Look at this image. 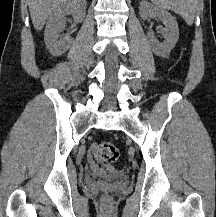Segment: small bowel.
<instances>
[{
  "label": "small bowel",
  "mask_w": 216,
  "mask_h": 217,
  "mask_svg": "<svg viewBox=\"0 0 216 217\" xmlns=\"http://www.w3.org/2000/svg\"><path fill=\"white\" fill-rule=\"evenodd\" d=\"M95 148H96V144H93L90 149L89 165H90L92 174L94 176L103 178V177L109 176L112 173H115L116 170L113 167L109 165H105L97 159Z\"/></svg>",
  "instance_id": "1"
}]
</instances>
